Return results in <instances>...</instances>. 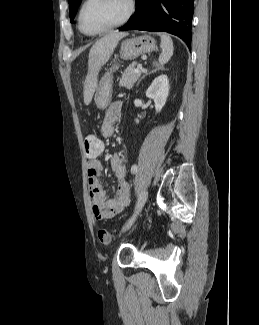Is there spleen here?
Masks as SVG:
<instances>
[{"label": "spleen", "mask_w": 259, "mask_h": 325, "mask_svg": "<svg viewBox=\"0 0 259 325\" xmlns=\"http://www.w3.org/2000/svg\"><path fill=\"white\" fill-rule=\"evenodd\" d=\"M161 54L159 56L160 65L167 63L173 55V41L169 35L161 34Z\"/></svg>", "instance_id": "1"}]
</instances>
